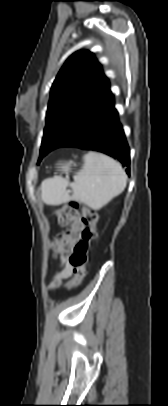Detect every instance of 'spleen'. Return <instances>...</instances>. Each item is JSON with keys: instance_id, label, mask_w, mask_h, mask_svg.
I'll return each instance as SVG.
<instances>
[{"instance_id": "1", "label": "spleen", "mask_w": 168, "mask_h": 406, "mask_svg": "<svg viewBox=\"0 0 168 406\" xmlns=\"http://www.w3.org/2000/svg\"><path fill=\"white\" fill-rule=\"evenodd\" d=\"M83 160L82 168L73 176V184L61 176L42 182V200L46 204L60 205L73 200L99 210L123 192L127 176L119 162L97 152H89ZM70 185L72 195L67 192Z\"/></svg>"}]
</instances>
